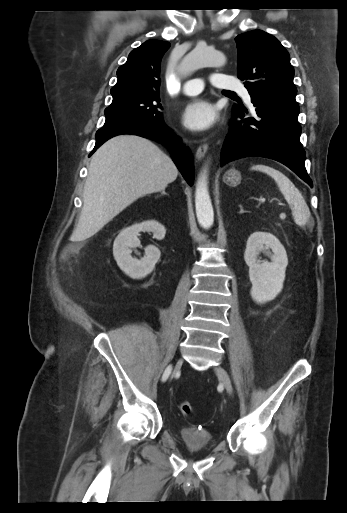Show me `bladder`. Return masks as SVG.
Instances as JSON below:
<instances>
[{
  "instance_id": "1",
  "label": "bladder",
  "mask_w": 347,
  "mask_h": 513,
  "mask_svg": "<svg viewBox=\"0 0 347 513\" xmlns=\"http://www.w3.org/2000/svg\"><path fill=\"white\" fill-rule=\"evenodd\" d=\"M179 433L186 450L189 452L206 453L213 450L217 444L212 434L204 429L183 427Z\"/></svg>"
}]
</instances>
